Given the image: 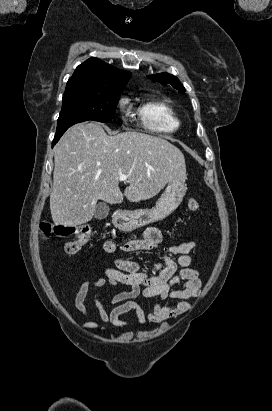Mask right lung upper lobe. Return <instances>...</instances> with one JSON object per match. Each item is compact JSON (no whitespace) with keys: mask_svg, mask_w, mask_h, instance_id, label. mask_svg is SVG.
Listing matches in <instances>:
<instances>
[{"mask_svg":"<svg viewBox=\"0 0 272 411\" xmlns=\"http://www.w3.org/2000/svg\"><path fill=\"white\" fill-rule=\"evenodd\" d=\"M130 77V72L119 70L97 58H90L76 68L67 82L65 93L125 86Z\"/></svg>","mask_w":272,"mask_h":411,"instance_id":"1","label":"right lung upper lobe"}]
</instances>
